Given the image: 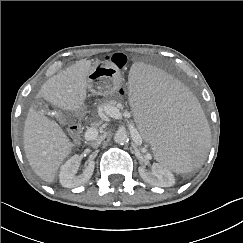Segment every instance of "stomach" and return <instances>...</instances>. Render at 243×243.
<instances>
[{
	"label": "stomach",
	"mask_w": 243,
	"mask_h": 243,
	"mask_svg": "<svg viewBox=\"0 0 243 243\" xmlns=\"http://www.w3.org/2000/svg\"><path fill=\"white\" fill-rule=\"evenodd\" d=\"M122 83L121 72L109 61L94 63L88 74V90L96 95H113Z\"/></svg>",
	"instance_id": "1"
}]
</instances>
